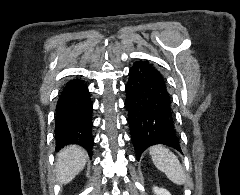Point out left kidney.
I'll return each instance as SVG.
<instances>
[{
    "label": "left kidney",
    "instance_id": "5707ae66",
    "mask_svg": "<svg viewBox=\"0 0 240 195\" xmlns=\"http://www.w3.org/2000/svg\"><path fill=\"white\" fill-rule=\"evenodd\" d=\"M153 189L157 195H171L170 191H168V189H164V187H157V185H155Z\"/></svg>",
    "mask_w": 240,
    "mask_h": 195
}]
</instances>
